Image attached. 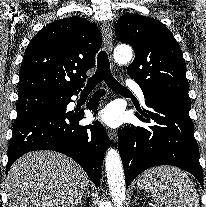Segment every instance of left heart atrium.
I'll use <instances>...</instances> for the list:
<instances>
[{
	"label": "left heart atrium",
	"instance_id": "left-heart-atrium-1",
	"mask_svg": "<svg viewBox=\"0 0 206 207\" xmlns=\"http://www.w3.org/2000/svg\"><path fill=\"white\" fill-rule=\"evenodd\" d=\"M97 119L110 128L119 127L123 120L122 111L114 104L104 107L97 116Z\"/></svg>",
	"mask_w": 206,
	"mask_h": 207
}]
</instances>
